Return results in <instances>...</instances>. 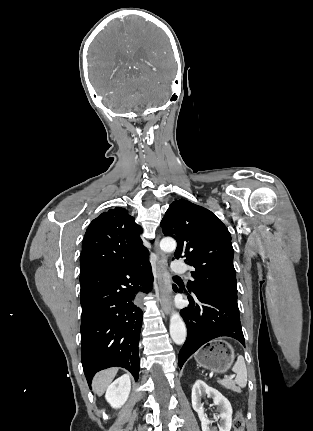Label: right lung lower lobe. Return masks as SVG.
I'll return each mask as SVG.
<instances>
[{"label": "right lung lower lobe", "mask_w": 313, "mask_h": 431, "mask_svg": "<svg viewBox=\"0 0 313 431\" xmlns=\"http://www.w3.org/2000/svg\"><path fill=\"white\" fill-rule=\"evenodd\" d=\"M153 276L148 256L127 265L80 275L81 361L88 384L96 372L113 366L137 380L143 312L139 292H149Z\"/></svg>", "instance_id": "obj_1"}]
</instances>
